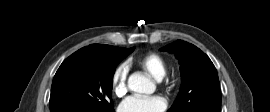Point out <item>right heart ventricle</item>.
Here are the masks:
<instances>
[{"instance_id":"e07e8e85","label":"right heart ventricle","mask_w":270,"mask_h":112,"mask_svg":"<svg viewBox=\"0 0 270 112\" xmlns=\"http://www.w3.org/2000/svg\"><path fill=\"white\" fill-rule=\"evenodd\" d=\"M135 64L156 80H161L167 72L166 60L156 52L141 55L135 60Z\"/></svg>"}]
</instances>
